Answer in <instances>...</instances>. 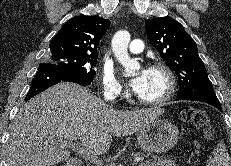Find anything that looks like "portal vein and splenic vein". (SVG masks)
<instances>
[{
  "label": "portal vein and splenic vein",
  "instance_id": "18ae733b",
  "mask_svg": "<svg viewBox=\"0 0 231 166\" xmlns=\"http://www.w3.org/2000/svg\"><path fill=\"white\" fill-rule=\"evenodd\" d=\"M65 144L69 147H72L74 149H76L78 151V153L80 155H82L83 157H85L86 160H89L91 163H94L96 165H101V161L99 159H97V157L91 155L88 151H86L81 144L79 145V143H73L72 140L66 141ZM144 158L142 157H136L134 159L135 163H140L143 162Z\"/></svg>",
  "mask_w": 231,
  "mask_h": 166
}]
</instances>
